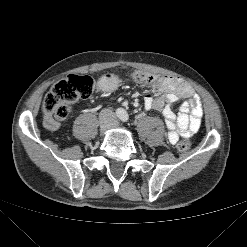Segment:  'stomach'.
Returning <instances> with one entry per match:
<instances>
[{"mask_svg": "<svg viewBox=\"0 0 247 247\" xmlns=\"http://www.w3.org/2000/svg\"><path fill=\"white\" fill-rule=\"evenodd\" d=\"M118 83H119L118 77L111 73L104 74L99 81L101 87L106 90L115 89Z\"/></svg>", "mask_w": 247, "mask_h": 247, "instance_id": "obj_1", "label": "stomach"}]
</instances>
